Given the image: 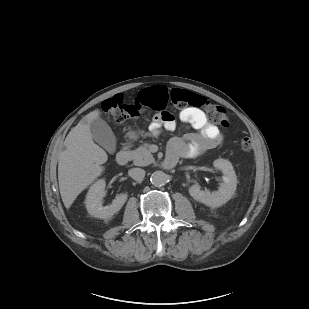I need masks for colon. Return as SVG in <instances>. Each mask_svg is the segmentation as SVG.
<instances>
[{"instance_id": "5ec220e1", "label": "colon", "mask_w": 309, "mask_h": 309, "mask_svg": "<svg viewBox=\"0 0 309 309\" xmlns=\"http://www.w3.org/2000/svg\"><path fill=\"white\" fill-rule=\"evenodd\" d=\"M168 107L204 109L213 122L224 128L230 126L229 117L223 107L209 102L203 95L179 88L169 89L159 85L142 91L131 102H125L123 96L117 94L102 103V110L116 122H124L129 118L137 117L146 108L159 112L158 117L163 120L169 115L166 111ZM240 147L243 151H250L252 148L251 138L242 137Z\"/></svg>"}]
</instances>
